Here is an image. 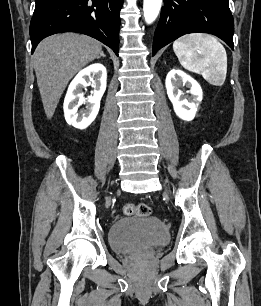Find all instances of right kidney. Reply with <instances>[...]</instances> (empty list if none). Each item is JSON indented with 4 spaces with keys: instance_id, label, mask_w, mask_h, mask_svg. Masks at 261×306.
<instances>
[{
    "instance_id": "obj_1",
    "label": "right kidney",
    "mask_w": 261,
    "mask_h": 306,
    "mask_svg": "<svg viewBox=\"0 0 261 306\" xmlns=\"http://www.w3.org/2000/svg\"><path fill=\"white\" fill-rule=\"evenodd\" d=\"M87 78L92 82L94 94L84 98L82 89L89 85ZM106 80V68L99 63L86 67L76 75L68 87L63 105L65 119L69 125L85 129L95 120L100 109L101 98L106 90ZM83 102H88L90 106L78 112V107Z\"/></svg>"
}]
</instances>
